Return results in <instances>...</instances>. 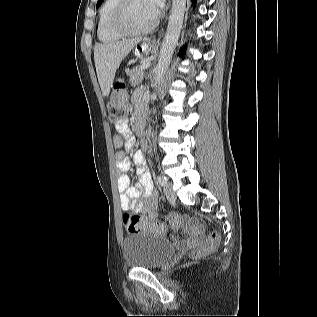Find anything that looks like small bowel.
I'll return each instance as SVG.
<instances>
[{"mask_svg": "<svg viewBox=\"0 0 317 317\" xmlns=\"http://www.w3.org/2000/svg\"><path fill=\"white\" fill-rule=\"evenodd\" d=\"M133 103L136 107V118L140 121V100L138 95H134ZM116 134L114 135V145L117 149L115 160L116 166L120 171L117 181L120 192V205L124 211H135L143 214L149 220L154 219L157 215V193L154 189L150 173L145 165L144 156L141 151L133 154V162L136 165L138 182L135 186L131 185L128 172L131 162L125 152L131 150L135 145V137L129 127L127 119L118 121L115 124ZM190 240H198L201 237L199 227H188Z\"/></svg>", "mask_w": 317, "mask_h": 317, "instance_id": "obj_1", "label": "small bowel"}]
</instances>
